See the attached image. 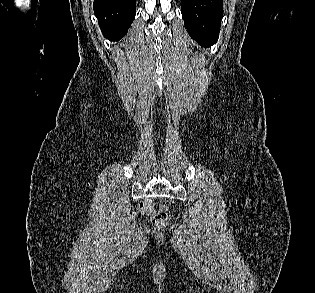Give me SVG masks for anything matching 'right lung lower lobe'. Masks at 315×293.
Returning <instances> with one entry per match:
<instances>
[{"mask_svg": "<svg viewBox=\"0 0 315 293\" xmlns=\"http://www.w3.org/2000/svg\"><path fill=\"white\" fill-rule=\"evenodd\" d=\"M93 7L104 37L118 41L135 17L136 0H94Z\"/></svg>", "mask_w": 315, "mask_h": 293, "instance_id": "right-lung-lower-lobe-1", "label": "right lung lower lobe"}]
</instances>
